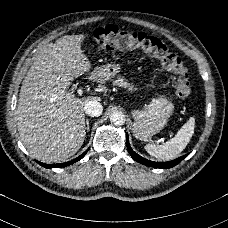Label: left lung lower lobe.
<instances>
[{
	"label": "left lung lower lobe",
	"mask_w": 228,
	"mask_h": 228,
	"mask_svg": "<svg viewBox=\"0 0 228 228\" xmlns=\"http://www.w3.org/2000/svg\"><path fill=\"white\" fill-rule=\"evenodd\" d=\"M126 145H127V149H128V152L130 153L131 157L141 163V164H144L146 166H149V167H154V168H163V169H168V168H171V167H174L175 165H177L178 163H180L188 154L182 156V157H179L173 161H169V162H153V161H150V160H147L145 158H142L140 155H138L137 153H135L130 144H129V137L127 135L126 137Z\"/></svg>",
	"instance_id": "left-lung-lower-lobe-1"
}]
</instances>
